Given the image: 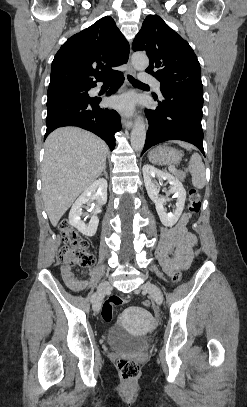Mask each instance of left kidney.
Wrapping results in <instances>:
<instances>
[{"mask_svg":"<svg viewBox=\"0 0 247 407\" xmlns=\"http://www.w3.org/2000/svg\"><path fill=\"white\" fill-rule=\"evenodd\" d=\"M158 177L159 180H167L170 184L169 192L174 194L176 200V208L172 213H166L164 203L166 200L159 197V189L157 184L152 181V178ZM143 177L145 187L150 199L155 203L157 213L162 224L166 227H172L180 218L186 200V190L182 183L173 175L163 172L152 165L146 164L143 166Z\"/></svg>","mask_w":247,"mask_h":407,"instance_id":"5707ae66","label":"left kidney"}]
</instances>
